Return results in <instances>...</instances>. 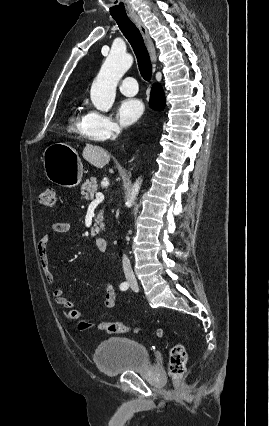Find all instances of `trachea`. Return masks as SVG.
I'll return each mask as SVG.
<instances>
[{
  "label": "trachea",
  "mask_w": 269,
  "mask_h": 426,
  "mask_svg": "<svg viewBox=\"0 0 269 426\" xmlns=\"http://www.w3.org/2000/svg\"><path fill=\"white\" fill-rule=\"evenodd\" d=\"M114 19L133 48L141 76L145 81H149L152 76V65L139 29L128 17Z\"/></svg>",
  "instance_id": "trachea-1"
}]
</instances>
